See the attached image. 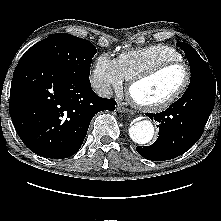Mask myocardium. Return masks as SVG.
<instances>
[{"mask_svg":"<svg viewBox=\"0 0 221 221\" xmlns=\"http://www.w3.org/2000/svg\"><path fill=\"white\" fill-rule=\"evenodd\" d=\"M173 66L184 67L186 75H185V80H184L182 86L172 96H170L168 99H166L162 102L156 103V104L142 103L138 99L135 98V96L133 94V89L137 84H139L143 81H146V80L154 77L155 75H157L161 71H163L167 68L173 67ZM191 79H192V72H191L189 65L186 62H184L182 60L164 61V62L158 63V64L150 67L149 69L141 72L140 74H138L135 77H133L132 79H130V82L128 85V90H127L128 96H129L131 102L133 103V105L135 107H137L138 109L146 111V112H160V111L166 110L169 107H171L172 105H174L186 93L187 89L189 88V86L191 84Z\"/></svg>","mask_w":221,"mask_h":221,"instance_id":"1","label":"myocardium"}]
</instances>
